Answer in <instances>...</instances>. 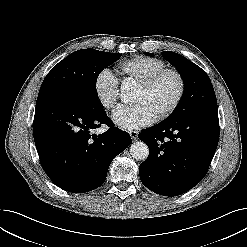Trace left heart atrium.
Instances as JSON below:
<instances>
[{"instance_id":"left-heart-atrium-1","label":"left heart atrium","mask_w":247,"mask_h":247,"mask_svg":"<svg viewBox=\"0 0 247 247\" xmlns=\"http://www.w3.org/2000/svg\"><path fill=\"white\" fill-rule=\"evenodd\" d=\"M157 117V113L145 101L132 106H119L112 113L114 123L126 130L150 125Z\"/></svg>"}]
</instances>
